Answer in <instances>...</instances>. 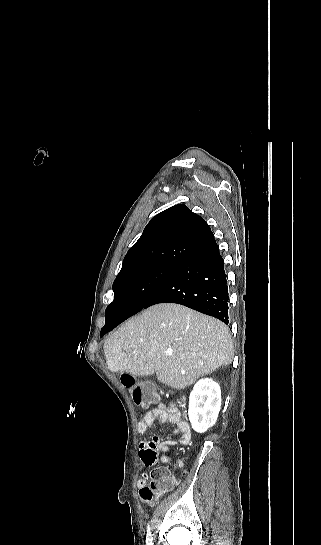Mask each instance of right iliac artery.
Listing matches in <instances>:
<instances>
[{
	"mask_svg": "<svg viewBox=\"0 0 321 545\" xmlns=\"http://www.w3.org/2000/svg\"><path fill=\"white\" fill-rule=\"evenodd\" d=\"M152 540H153V538H152V535H151V532H150V528L148 527L147 536H146V544L147 545H153Z\"/></svg>",
	"mask_w": 321,
	"mask_h": 545,
	"instance_id": "obj_1",
	"label": "right iliac artery"
}]
</instances>
